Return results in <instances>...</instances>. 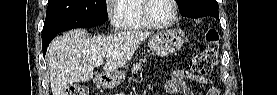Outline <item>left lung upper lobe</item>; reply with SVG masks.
I'll return each mask as SVG.
<instances>
[{
    "label": "left lung upper lobe",
    "instance_id": "5c2ea615",
    "mask_svg": "<svg viewBox=\"0 0 277 95\" xmlns=\"http://www.w3.org/2000/svg\"><path fill=\"white\" fill-rule=\"evenodd\" d=\"M182 16L199 18L212 16L219 19L216 0H176Z\"/></svg>",
    "mask_w": 277,
    "mask_h": 95
}]
</instances>
